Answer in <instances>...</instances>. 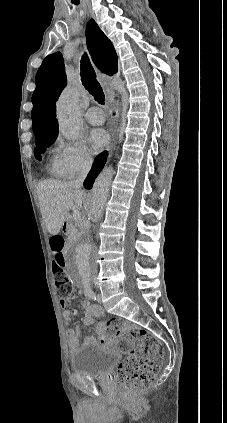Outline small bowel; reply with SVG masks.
Masks as SVG:
<instances>
[{
	"label": "small bowel",
	"mask_w": 227,
	"mask_h": 423,
	"mask_svg": "<svg viewBox=\"0 0 227 423\" xmlns=\"http://www.w3.org/2000/svg\"><path fill=\"white\" fill-rule=\"evenodd\" d=\"M59 303L62 308L67 307V301L65 298H61ZM81 306L85 311L84 324L86 326L92 325L97 318L104 316V309L99 304H94L88 300H83L81 301ZM74 315H75V311H68V310L64 311L63 317L67 325L72 323ZM96 329L99 334V342L107 343L109 341V338L106 335V324L104 322H100L98 323ZM80 335H81V330L78 327L75 329H69L67 331V337H68L69 347L71 351H75L77 349L79 340H80ZM85 342L94 343L96 342V340L92 337H88L85 340Z\"/></svg>",
	"instance_id": "obj_1"
}]
</instances>
